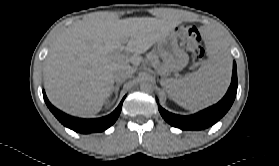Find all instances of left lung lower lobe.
I'll list each match as a JSON object with an SVG mask.
<instances>
[{"mask_svg": "<svg viewBox=\"0 0 279 166\" xmlns=\"http://www.w3.org/2000/svg\"><path fill=\"white\" fill-rule=\"evenodd\" d=\"M237 93V69L233 63L231 85L226 95L217 104L200 111L194 115L181 116L170 113L158 106L162 117L172 126L182 130H202L214 125L219 121L232 106ZM158 102V100H157Z\"/></svg>", "mask_w": 279, "mask_h": 166, "instance_id": "1", "label": "left lung lower lobe"}]
</instances>
